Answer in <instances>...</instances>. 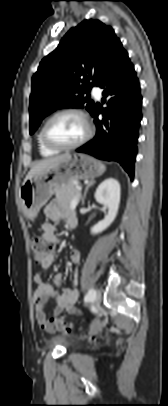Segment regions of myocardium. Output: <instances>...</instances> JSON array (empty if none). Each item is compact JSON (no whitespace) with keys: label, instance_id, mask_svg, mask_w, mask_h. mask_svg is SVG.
<instances>
[{"label":"myocardium","instance_id":"1","mask_svg":"<svg viewBox=\"0 0 168 406\" xmlns=\"http://www.w3.org/2000/svg\"><path fill=\"white\" fill-rule=\"evenodd\" d=\"M67 113H73L78 115L79 117L82 118L84 124H85V133L84 135L75 143L69 144V145H58L53 143L48 135H47V128L49 124L54 120L56 117L62 115V114H67ZM93 133V128L91 125V121L89 119V116L84 112L83 110L76 108V107H66L62 108L55 113H53L44 123L42 129H41V139L43 143L50 149L57 150V151H64V150H72L76 149L80 146H82L84 143H86L90 137L92 136Z\"/></svg>","mask_w":168,"mask_h":406}]
</instances>
